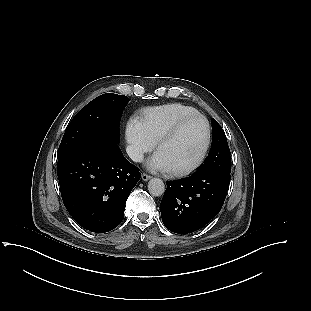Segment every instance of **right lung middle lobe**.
<instances>
[{
    "label": "right lung middle lobe",
    "instance_id": "right-lung-middle-lobe-1",
    "mask_svg": "<svg viewBox=\"0 0 311 311\" xmlns=\"http://www.w3.org/2000/svg\"><path fill=\"white\" fill-rule=\"evenodd\" d=\"M129 99L106 93L83 107L69 123L58 150L61 159L90 142L119 141V122Z\"/></svg>",
    "mask_w": 311,
    "mask_h": 311
}]
</instances>
